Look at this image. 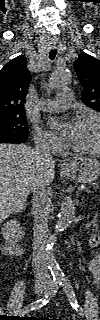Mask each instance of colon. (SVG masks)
<instances>
[{
  "instance_id": "colon-1",
  "label": "colon",
  "mask_w": 100,
  "mask_h": 320,
  "mask_svg": "<svg viewBox=\"0 0 100 320\" xmlns=\"http://www.w3.org/2000/svg\"><path fill=\"white\" fill-rule=\"evenodd\" d=\"M100 244V239L97 235H94L92 238H91V245L93 247H96Z\"/></svg>"
}]
</instances>
